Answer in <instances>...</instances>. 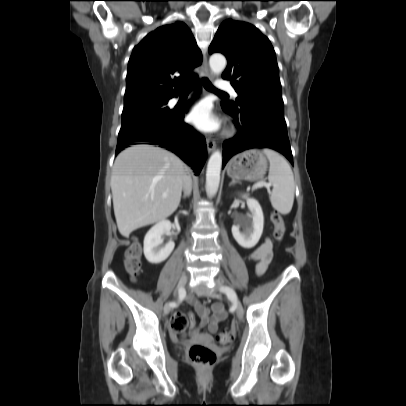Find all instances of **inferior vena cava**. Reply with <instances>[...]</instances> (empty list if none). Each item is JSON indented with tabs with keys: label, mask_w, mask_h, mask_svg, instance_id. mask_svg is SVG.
Masks as SVG:
<instances>
[{
	"label": "inferior vena cava",
	"mask_w": 406,
	"mask_h": 406,
	"mask_svg": "<svg viewBox=\"0 0 406 406\" xmlns=\"http://www.w3.org/2000/svg\"><path fill=\"white\" fill-rule=\"evenodd\" d=\"M183 190L185 194H190L192 190L191 177L188 175L187 170L183 175Z\"/></svg>",
	"instance_id": "obj_1"
}]
</instances>
